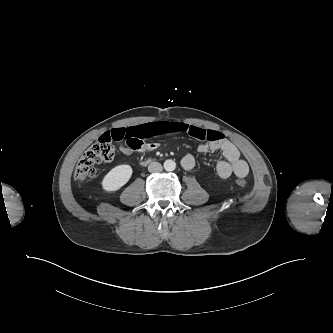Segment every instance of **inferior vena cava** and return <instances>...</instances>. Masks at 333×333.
Returning <instances> with one entry per match:
<instances>
[{
	"label": "inferior vena cava",
	"instance_id": "1",
	"mask_svg": "<svg viewBox=\"0 0 333 333\" xmlns=\"http://www.w3.org/2000/svg\"><path fill=\"white\" fill-rule=\"evenodd\" d=\"M162 170H163V167L159 162H152L148 166V171L151 173H159Z\"/></svg>",
	"mask_w": 333,
	"mask_h": 333
}]
</instances>
